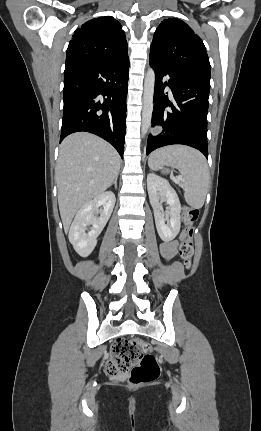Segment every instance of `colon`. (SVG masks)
Listing matches in <instances>:
<instances>
[{
    "mask_svg": "<svg viewBox=\"0 0 261 431\" xmlns=\"http://www.w3.org/2000/svg\"><path fill=\"white\" fill-rule=\"evenodd\" d=\"M199 211L184 207L185 229L179 246V256L186 269H190L194 254V223L198 220ZM110 376L129 373V382L134 386L149 384L155 381L160 368L156 358L150 353V345L133 339H118L112 347V357L106 364Z\"/></svg>",
    "mask_w": 261,
    "mask_h": 431,
    "instance_id": "1",
    "label": "colon"
}]
</instances>
